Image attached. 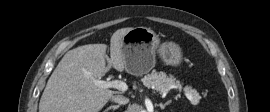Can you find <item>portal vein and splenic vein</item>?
I'll return each mask as SVG.
<instances>
[{"mask_svg": "<svg viewBox=\"0 0 270 112\" xmlns=\"http://www.w3.org/2000/svg\"><path fill=\"white\" fill-rule=\"evenodd\" d=\"M94 82L96 86L104 89L114 88L123 92L128 90L127 84L121 80H112V81L95 80ZM183 93L190 101H192L193 97L188 91L184 90Z\"/></svg>", "mask_w": 270, "mask_h": 112, "instance_id": "1", "label": "portal vein and splenic vein"}]
</instances>
